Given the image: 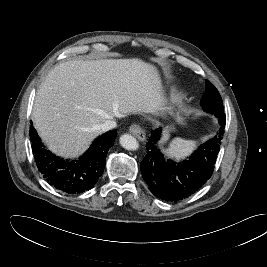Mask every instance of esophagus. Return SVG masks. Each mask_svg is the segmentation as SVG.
Masks as SVG:
<instances>
[{
	"instance_id": "1",
	"label": "esophagus",
	"mask_w": 267,
	"mask_h": 267,
	"mask_svg": "<svg viewBox=\"0 0 267 267\" xmlns=\"http://www.w3.org/2000/svg\"><path fill=\"white\" fill-rule=\"evenodd\" d=\"M129 132L139 140H145L146 134L143 128L138 124H133L129 127Z\"/></svg>"
}]
</instances>
